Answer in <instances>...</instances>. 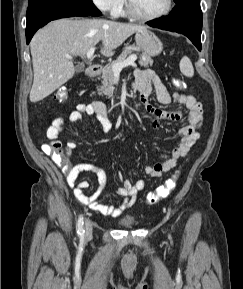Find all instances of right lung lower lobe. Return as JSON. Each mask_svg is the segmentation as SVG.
Returning <instances> with one entry per match:
<instances>
[{
	"label": "right lung lower lobe",
	"mask_w": 243,
	"mask_h": 289,
	"mask_svg": "<svg viewBox=\"0 0 243 289\" xmlns=\"http://www.w3.org/2000/svg\"><path fill=\"white\" fill-rule=\"evenodd\" d=\"M92 0H29L27 10L26 42L48 22L73 16H99Z\"/></svg>",
	"instance_id": "right-lung-lower-lobe-1"
}]
</instances>
